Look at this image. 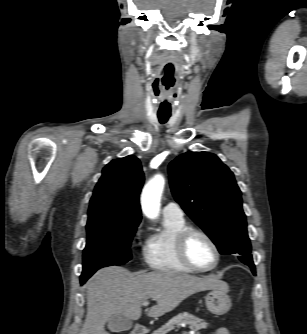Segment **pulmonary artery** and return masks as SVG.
<instances>
[{"instance_id":"1","label":"pulmonary artery","mask_w":307,"mask_h":334,"mask_svg":"<svg viewBox=\"0 0 307 334\" xmlns=\"http://www.w3.org/2000/svg\"><path fill=\"white\" fill-rule=\"evenodd\" d=\"M164 217L171 218L174 220H184V213L180 205L176 202H168L162 210Z\"/></svg>"}]
</instances>
